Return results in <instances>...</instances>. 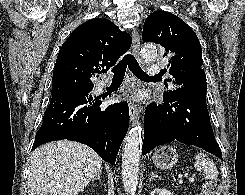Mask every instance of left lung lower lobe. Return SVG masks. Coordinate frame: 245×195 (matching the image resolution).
Returning <instances> with one entry per match:
<instances>
[{
    "label": "left lung lower lobe",
    "instance_id": "obj_1",
    "mask_svg": "<svg viewBox=\"0 0 245 195\" xmlns=\"http://www.w3.org/2000/svg\"><path fill=\"white\" fill-rule=\"evenodd\" d=\"M174 140L200 147L222 159L206 102L195 97L176 100L164 97V104L152 103L146 109L142 154Z\"/></svg>",
    "mask_w": 245,
    "mask_h": 195
}]
</instances>
